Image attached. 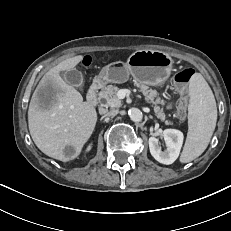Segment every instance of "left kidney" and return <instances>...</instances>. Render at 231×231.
I'll use <instances>...</instances> for the list:
<instances>
[{"instance_id":"1","label":"left kidney","mask_w":231,"mask_h":231,"mask_svg":"<svg viewBox=\"0 0 231 231\" xmlns=\"http://www.w3.org/2000/svg\"><path fill=\"white\" fill-rule=\"evenodd\" d=\"M165 140L166 150L162 151L159 139L156 137L149 138V149L151 155L162 164H172L179 156L182 144L183 133L176 129H165L162 133Z\"/></svg>"}]
</instances>
